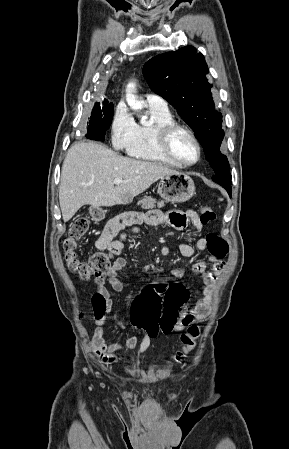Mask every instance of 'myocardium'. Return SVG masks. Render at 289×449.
Listing matches in <instances>:
<instances>
[{
    "mask_svg": "<svg viewBox=\"0 0 289 449\" xmlns=\"http://www.w3.org/2000/svg\"><path fill=\"white\" fill-rule=\"evenodd\" d=\"M183 132L185 133L195 144L197 148V158L195 161L187 163L183 162L180 159H178L172 149V140L175 134ZM158 143L160 146V149L162 153L173 163L177 164L178 166L182 167H191L195 164H197L201 157H202V146L196 137V135L193 133L192 130L187 128L186 126H183L181 124H178L176 122L162 125L158 128Z\"/></svg>",
    "mask_w": 289,
    "mask_h": 449,
    "instance_id": "myocardium-1",
    "label": "myocardium"
}]
</instances>
